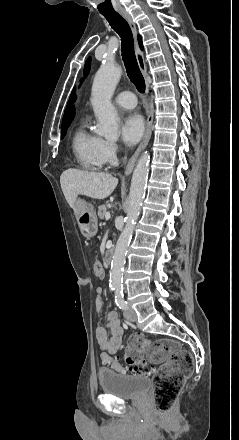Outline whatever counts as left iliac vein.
Segmentation results:
<instances>
[{"instance_id":"1","label":"left iliac vein","mask_w":239,"mask_h":440,"mask_svg":"<svg viewBox=\"0 0 239 440\" xmlns=\"http://www.w3.org/2000/svg\"><path fill=\"white\" fill-rule=\"evenodd\" d=\"M124 317L130 322H135L137 320L136 312L130 308L125 309Z\"/></svg>"}]
</instances>
